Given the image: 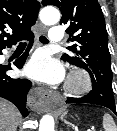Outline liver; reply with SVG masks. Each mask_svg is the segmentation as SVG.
<instances>
[{
    "label": "liver",
    "mask_w": 117,
    "mask_h": 131,
    "mask_svg": "<svg viewBox=\"0 0 117 131\" xmlns=\"http://www.w3.org/2000/svg\"><path fill=\"white\" fill-rule=\"evenodd\" d=\"M20 119L19 110L12 103L0 99V131H16Z\"/></svg>",
    "instance_id": "obj_1"
}]
</instances>
